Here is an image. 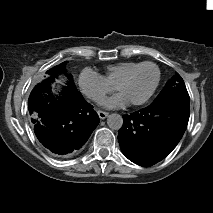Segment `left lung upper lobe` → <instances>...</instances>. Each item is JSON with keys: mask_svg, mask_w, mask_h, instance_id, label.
I'll list each match as a JSON object with an SVG mask.
<instances>
[{"mask_svg": "<svg viewBox=\"0 0 213 213\" xmlns=\"http://www.w3.org/2000/svg\"><path fill=\"white\" fill-rule=\"evenodd\" d=\"M167 95H179L189 98L185 83L178 73H176V75L167 82L161 93L154 101L160 100Z\"/></svg>", "mask_w": 213, "mask_h": 213, "instance_id": "1", "label": "left lung upper lobe"}]
</instances>
